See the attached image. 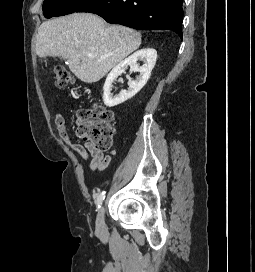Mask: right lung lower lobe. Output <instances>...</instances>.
Here are the masks:
<instances>
[{
  "instance_id": "98d812e1",
  "label": "right lung lower lobe",
  "mask_w": 255,
  "mask_h": 272,
  "mask_svg": "<svg viewBox=\"0 0 255 272\" xmlns=\"http://www.w3.org/2000/svg\"><path fill=\"white\" fill-rule=\"evenodd\" d=\"M183 0H90L76 12L140 30H172L182 39Z\"/></svg>"
}]
</instances>
